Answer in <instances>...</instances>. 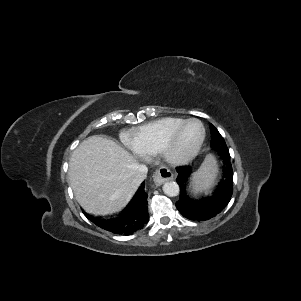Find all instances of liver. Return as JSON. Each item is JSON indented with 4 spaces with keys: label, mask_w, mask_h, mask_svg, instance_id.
<instances>
[{
    "label": "liver",
    "mask_w": 301,
    "mask_h": 301,
    "mask_svg": "<svg viewBox=\"0 0 301 301\" xmlns=\"http://www.w3.org/2000/svg\"><path fill=\"white\" fill-rule=\"evenodd\" d=\"M137 168L135 157L116 142L91 136L71 155L69 182L87 213L108 215L123 209L135 194Z\"/></svg>",
    "instance_id": "obj_1"
}]
</instances>
